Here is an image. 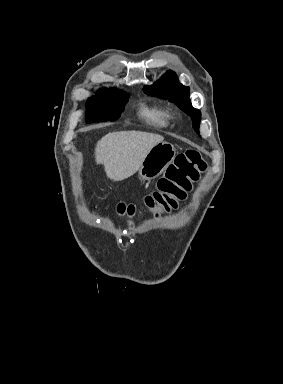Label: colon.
Listing matches in <instances>:
<instances>
[{
	"label": "colon",
	"mask_w": 283,
	"mask_h": 384,
	"mask_svg": "<svg viewBox=\"0 0 283 384\" xmlns=\"http://www.w3.org/2000/svg\"><path fill=\"white\" fill-rule=\"evenodd\" d=\"M205 169L206 163L198 150L188 149L178 154L158 181L156 189L146 195L144 205L149 209L160 207L164 211L176 208L177 202L184 199ZM135 211L133 204L120 203L117 206V212L121 215L132 216Z\"/></svg>",
	"instance_id": "5ec220e1"
}]
</instances>
